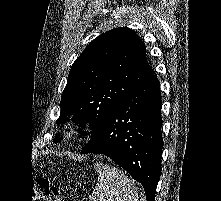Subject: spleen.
Masks as SVG:
<instances>
[{
	"label": "spleen",
	"mask_w": 221,
	"mask_h": 201,
	"mask_svg": "<svg viewBox=\"0 0 221 201\" xmlns=\"http://www.w3.org/2000/svg\"><path fill=\"white\" fill-rule=\"evenodd\" d=\"M98 181L90 201H138V193L128 177L114 166L96 163Z\"/></svg>",
	"instance_id": "obj_1"
}]
</instances>
